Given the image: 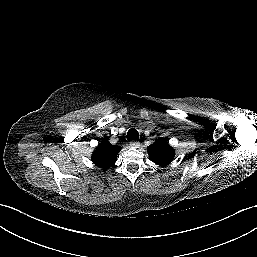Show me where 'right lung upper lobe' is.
Segmentation results:
<instances>
[{"instance_id":"cb5924a9","label":"right lung upper lobe","mask_w":257,"mask_h":257,"mask_svg":"<svg viewBox=\"0 0 257 257\" xmlns=\"http://www.w3.org/2000/svg\"><path fill=\"white\" fill-rule=\"evenodd\" d=\"M120 146L112 145L107 140H103L92 155V162L104 170L112 167L116 162Z\"/></svg>"}]
</instances>
